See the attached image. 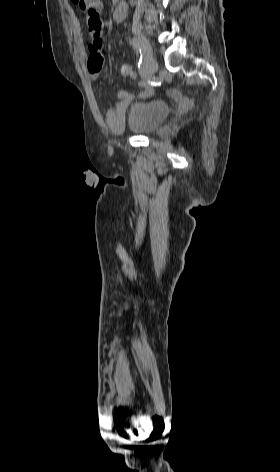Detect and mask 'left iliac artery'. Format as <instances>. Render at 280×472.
<instances>
[{
	"mask_svg": "<svg viewBox=\"0 0 280 472\" xmlns=\"http://www.w3.org/2000/svg\"><path fill=\"white\" fill-rule=\"evenodd\" d=\"M130 43L133 44L140 52V60L138 63V67H140L148 58L149 48L137 38L132 39Z\"/></svg>",
	"mask_w": 280,
	"mask_h": 472,
	"instance_id": "left-iliac-artery-1",
	"label": "left iliac artery"
}]
</instances>
